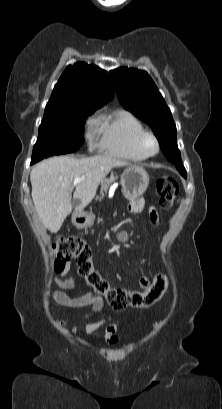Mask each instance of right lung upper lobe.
I'll list each match as a JSON object with an SVG mask.
<instances>
[{"mask_svg": "<svg viewBox=\"0 0 222 409\" xmlns=\"http://www.w3.org/2000/svg\"><path fill=\"white\" fill-rule=\"evenodd\" d=\"M113 96L114 88L105 70L77 62L65 69L45 110L67 107L100 108Z\"/></svg>", "mask_w": 222, "mask_h": 409, "instance_id": "1", "label": "right lung upper lobe"}]
</instances>
